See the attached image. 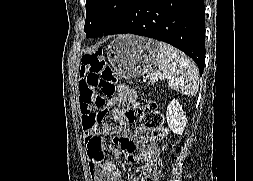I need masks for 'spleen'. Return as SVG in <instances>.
Masks as SVG:
<instances>
[{
	"label": "spleen",
	"instance_id": "spleen-1",
	"mask_svg": "<svg viewBox=\"0 0 253 181\" xmlns=\"http://www.w3.org/2000/svg\"><path fill=\"white\" fill-rule=\"evenodd\" d=\"M160 77L166 78L169 87L185 95L194 96L199 88V71L196 64L178 49L158 42Z\"/></svg>",
	"mask_w": 253,
	"mask_h": 181
}]
</instances>
